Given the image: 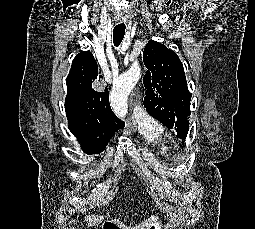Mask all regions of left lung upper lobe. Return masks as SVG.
<instances>
[{"mask_svg":"<svg viewBox=\"0 0 255 229\" xmlns=\"http://www.w3.org/2000/svg\"><path fill=\"white\" fill-rule=\"evenodd\" d=\"M147 73L144 107L147 112L185 140L191 114V93L178 55L161 43L150 40L143 52Z\"/></svg>","mask_w":255,"mask_h":229,"instance_id":"left-lung-upper-lobe-1","label":"left lung upper lobe"}]
</instances>
